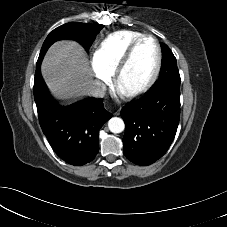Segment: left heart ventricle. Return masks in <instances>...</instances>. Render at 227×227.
I'll return each mask as SVG.
<instances>
[{
	"label": "left heart ventricle",
	"mask_w": 227,
	"mask_h": 227,
	"mask_svg": "<svg viewBox=\"0 0 227 227\" xmlns=\"http://www.w3.org/2000/svg\"><path fill=\"white\" fill-rule=\"evenodd\" d=\"M157 49L154 41L146 38L137 46L120 80V87L129 90L145 82L154 71Z\"/></svg>",
	"instance_id": "1"
}]
</instances>
